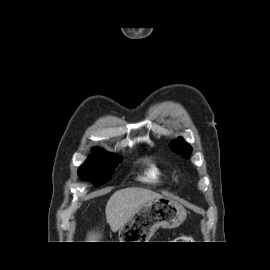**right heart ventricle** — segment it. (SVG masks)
Returning a JSON list of instances; mask_svg holds the SVG:
<instances>
[{
    "label": "right heart ventricle",
    "instance_id": "1",
    "mask_svg": "<svg viewBox=\"0 0 270 270\" xmlns=\"http://www.w3.org/2000/svg\"><path fill=\"white\" fill-rule=\"evenodd\" d=\"M168 178V174L157 164L149 162L141 179L152 184H162Z\"/></svg>",
    "mask_w": 270,
    "mask_h": 270
}]
</instances>
